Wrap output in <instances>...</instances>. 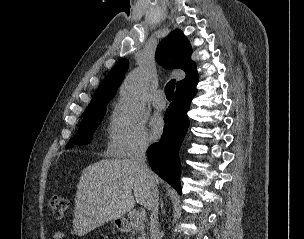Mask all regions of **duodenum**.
<instances>
[{
	"label": "duodenum",
	"mask_w": 304,
	"mask_h": 239,
	"mask_svg": "<svg viewBox=\"0 0 304 239\" xmlns=\"http://www.w3.org/2000/svg\"><path fill=\"white\" fill-rule=\"evenodd\" d=\"M117 226L122 232H130L133 228L132 224L126 219H120L117 221Z\"/></svg>",
	"instance_id": "obj_1"
}]
</instances>
